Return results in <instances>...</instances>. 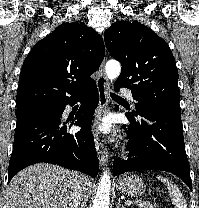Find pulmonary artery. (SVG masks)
I'll use <instances>...</instances> for the list:
<instances>
[{"instance_id": "e3ab8cb5", "label": "pulmonary artery", "mask_w": 199, "mask_h": 208, "mask_svg": "<svg viewBox=\"0 0 199 208\" xmlns=\"http://www.w3.org/2000/svg\"><path fill=\"white\" fill-rule=\"evenodd\" d=\"M121 93H122L123 96L127 97L132 102H135L134 96H133V94H132L130 89L123 88V89H121Z\"/></svg>"}]
</instances>
